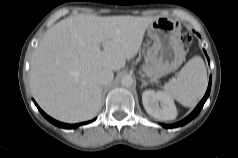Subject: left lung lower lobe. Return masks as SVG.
Wrapping results in <instances>:
<instances>
[{"label": "left lung lower lobe", "instance_id": "obj_1", "mask_svg": "<svg viewBox=\"0 0 238 158\" xmlns=\"http://www.w3.org/2000/svg\"><path fill=\"white\" fill-rule=\"evenodd\" d=\"M204 53L206 54V51L204 50ZM209 61V59H208ZM211 76H210V79H209V85H208V89L206 91V94L204 96V98L200 101V103L197 105V107L194 109V111L189 115L187 116L185 119H183L182 121L178 122V123H175V124H172V125H164L163 124V127L165 128H176V127H179V126H182V125H185L186 123H188L189 121H191L194 117L197 116V114L200 112V110L202 109L205 101L207 100L209 94H210V90H211Z\"/></svg>", "mask_w": 238, "mask_h": 158}]
</instances>
